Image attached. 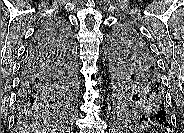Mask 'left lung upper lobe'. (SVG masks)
<instances>
[{
	"label": "left lung upper lobe",
	"instance_id": "left-lung-upper-lobe-1",
	"mask_svg": "<svg viewBox=\"0 0 184 133\" xmlns=\"http://www.w3.org/2000/svg\"><path fill=\"white\" fill-rule=\"evenodd\" d=\"M108 58L115 112L137 124L151 123L148 119L159 110L148 92L160 73L150 48L135 29L120 26L110 36Z\"/></svg>",
	"mask_w": 184,
	"mask_h": 133
}]
</instances>
